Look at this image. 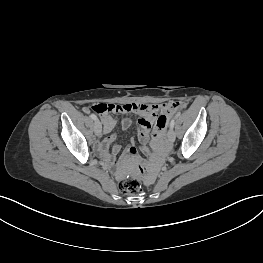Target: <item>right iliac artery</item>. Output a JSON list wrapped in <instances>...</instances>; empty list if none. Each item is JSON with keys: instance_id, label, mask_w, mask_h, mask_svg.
Returning a JSON list of instances; mask_svg holds the SVG:
<instances>
[{"instance_id": "82829eb1", "label": "right iliac artery", "mask_w": 263, "mask_h": 263, "mask_svg": "<svg viewBox=\"0 0 263 263\" xmlns=\"http://www.w3.org/2000/svg\"><path fill=\"white\" fill-rule=\"evenodd\" d=\"M90 117H91V119H93L95 121L97 120V116L95 114H91Z\"/></svg>"}]
</instances>
